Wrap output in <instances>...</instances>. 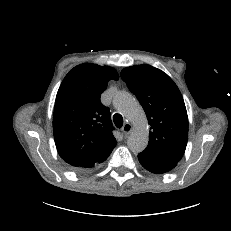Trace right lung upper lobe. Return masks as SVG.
I'll use <instances>...</instances> for the list:
<instances>
[{"mask_svg":"<svg viewBox=\"0 0 231 231\" xmlns=\"http://www.w3.org/2000/svg\"><path fill=\"white\" fill-rule=\"evenodd\" d=\"M114 68L91 63L69 71L57 92L53 133L57 151L76 167L96 163L116 146L109 109L100 102L109 80H118Z\"/></svg>","mask_w":231,"mask_h":231,"instance_id":"obj_1","label":"right lung upper lobe"}]
</instances>
